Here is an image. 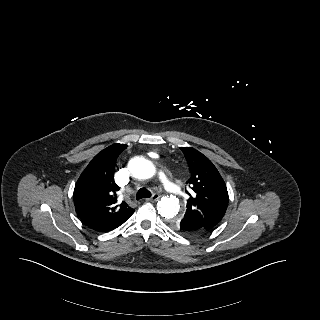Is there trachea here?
<instances>
[{
	"instance_id": "obj_1",
	"label": "trachea",
	"mask_w": 320,
	"mask_h": 320,
	"mask_svg": "<svg viewBox=\"0 0 320 320\" xmlns=\"http://www.w3.org/2000/svg\"><path fill=\"white\" fill-rule=\"evenodd\" d=\"M149 197H151V193L146 188L139 189L137 194H136V199L137 200L143 199V198H149Z\"/></svg>"
}]
</instances>
